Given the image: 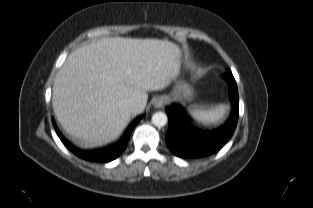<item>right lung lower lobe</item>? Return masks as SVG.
Returning a JSON list of instances; mask_svg holds the SVG:
<instances>
[{"instance_id":"1","label":"right lung lower lobe","mask_w":313,"mask_h":208,"mask_svg":"<svg viewBox=\"0 0 313 208\" xmlns=\"http://www.w3.org/2000/svg\"><path fill=\"white\" fill-rule=\"evenodd\" d=\"M142 116L137 117L132 124L128 127L126 132L124 133L123 137L120 139L118 143L115 145H112L108 148L101 149V150H95V151H82L80 149H77L76 147L72 146L65 138L61 135L59 130L57 129L54 120L53 124L55 127V131L63 144L75 155L78 157L88 160V161H95V162H109L111 160H114L117 158L126 148L127 142L129 140L130 134L134 126L138 123V121L141 119Z\"/></svg>"}]
</instances>
